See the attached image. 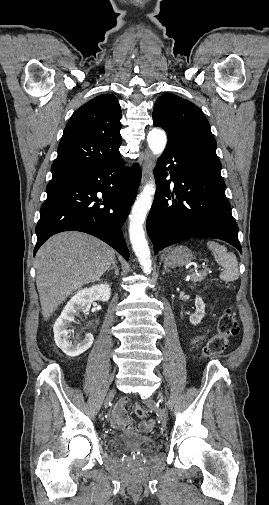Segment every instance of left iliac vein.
I'll return each instance as SVG.
<instances>
[{
  "instance_id": "4c4485c4",
  "label": "left iliac vein",
  "mask_w": 269,
  "mask_h": 505,
  "mask_svg": "<svg viewBox=\"0 0 269 505\" xmlns=\"http://www.w3.org/2000/svg\"><path fill=\"white\" fill-rule=\"evenodd\" d=\"M144 407L146 409H149L151 412H157V416L161 422L162 425H166L167 423V414L164 409L158 408V405L155 403L154 400H146L144 402Z\"/></svg>"
}]
</instances>
